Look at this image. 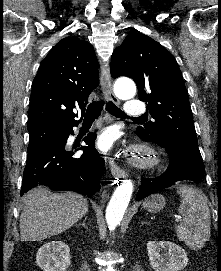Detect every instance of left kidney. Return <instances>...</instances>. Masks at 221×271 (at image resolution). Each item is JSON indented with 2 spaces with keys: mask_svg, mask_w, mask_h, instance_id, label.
Returning <instances> with one entry per match:
<instances>
[{
  "mask_svg": "<svg viewBox=\"0 0 221 271\" xmlns=\"http://www.w3.org/2000/svg\"><path fill=\"white\" fill-rule=\"evenodd\" d=\"M147 251L155 271H181L188 263L185 249L173 241H148Z\"/></svg>",
  "mask_w": 221,
  "mask_h": 271,
  "instance_id": "1",
  "label": "left kidney"
}]
</instances>
